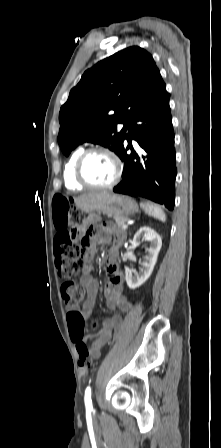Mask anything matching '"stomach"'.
I'll list each match as a JSON object with an SVG mask.
<instances>
[{"instance_id": "1", "label": "stomach", "mask_w": 221, "mask_h": 448, "mask_svg": "<svg viewBox=\"0 0 221 448\" xmlns=\"http://www.w3.org/2000/svg\"><path fill=\"white\" fill-rule=\"evenodd\" d=\"M76 205L86 213L99 212L108 216L128 217L138 211V206L133 199L108 191L81 197L76 201Z\"/></svg>"}]
</instances>
